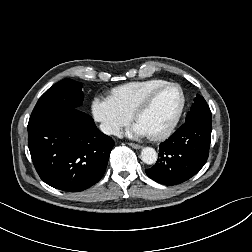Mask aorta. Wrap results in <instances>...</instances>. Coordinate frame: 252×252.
<instances>
[{"instance_id":"obj_1","label":"aorta","mask_w":252,"mask_h":252,"mask_svg":"<svg viewBox=\"0 0 252 252\" xmlns=\"http://www.w3.org/2000/svg\"><path fill=\"white\" fill-rule=\"evenodd\" d=\"M157 153L152 147H144L141 151V160L148 165L154 164L157 161Z\"/></svg>"}]
</instances>
